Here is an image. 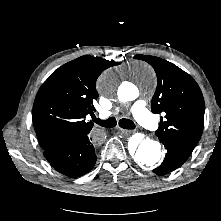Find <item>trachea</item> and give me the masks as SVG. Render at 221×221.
Here are the masks:
<instances>
[{
  "label": "trachea",
  "mask_w": 221,
  "mask_h": 221,
  "mask_svg": "<svg viewBox=\"0 0 221 221\" xmlns=\"http://www.w3.org/2000/svg\"><path fill=\"white\" fill-rule=\"evenodd\" d=\"M93 121L97 123L98 125L105 127V128H113L117 124V121L114 117H110L107 120H101V119L94 117ZM119 126L124 129L135 128V124L133 123V121L129 119H125V118L119 120Z\"/></svg>",
  "instance_id": "obj_1"
}]
</instances>
